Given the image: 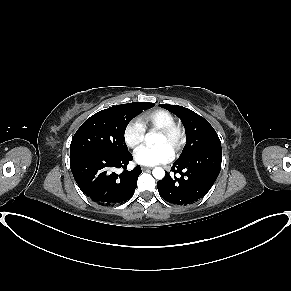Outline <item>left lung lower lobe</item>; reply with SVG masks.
Returning a JSON list of instances; mask_svg holds the SVG:
<instances>
[{"mask_svg":"<svg viewBox=\"0 0 291 291\" xmlns=\"http://www.w3.org/2000/svg\"><path fill=\"white\" fill-rule=\"evenodd\" d=\"M222 161V149L211 148L194 153L173 163L171 171L157 182L161 197L176 205H188L208 193L217 179Z\"/></svg>","mask_w":291,"mask_h":291,"instance_id":"1","label":"left lung lower lobe"}]
</instances>
